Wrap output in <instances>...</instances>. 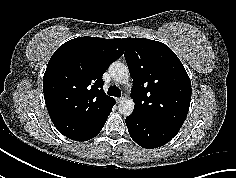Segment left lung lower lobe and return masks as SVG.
Returning a JSON list of instances; mask_svg holds the SVG:
<instances>
[{"instance_id": "1", "label": "left lung lower lobe", "mask_w": 236, "mask_h": 178, "mask_svg": "<svg viewBox=\"0 0 236 178\" xmlns=\"http://www.w3.org/2000/svg\"><path fill=\"white\" fill-rule=\"evenodd\" d=\"M131 138L143 148H157L169 142L180 128L131 114L125 119Z\"/></svg>"}]
</instances>
